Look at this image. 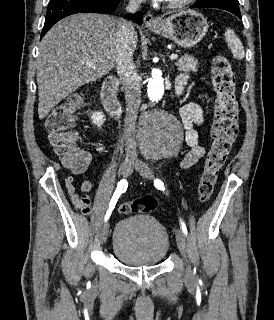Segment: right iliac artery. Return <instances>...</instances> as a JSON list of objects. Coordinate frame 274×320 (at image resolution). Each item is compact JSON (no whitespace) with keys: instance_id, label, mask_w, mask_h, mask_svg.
<instances>
[{"instance_id":"obj_1","label":"right iliac artery","mask_w":274,"mask_h":320,"mask_svg":"<svg viewBox=\"0 0 274 320\" xmlns=\"http://www.w3.org/2000/svg\"><path fill=\"white\" fill-rule=\"evenodd\" d=\"M127 182L125 179H122L118 185H117V188L111 198V201H110V204H109V209L107 210L106 212V215H105V221H107L113 211V209L115 208V205L120 197V195L122 193H124L126 190H127Z\"/></svg>"}]
</instances>
